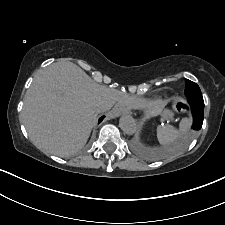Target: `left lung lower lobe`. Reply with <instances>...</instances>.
Returning a JSON list of instances; mask_svg holds the SVG:
<instances>
[{"label": "left lung lower lobe", "instance_id": "left-lung-lower-lobe-1", "mask_svg": "<svg viewBox=\"0 0 225 225\" xmlns=\"http://www.w3.org/2000/svg\"><path fill=\"white\" fill-rule=\"evenodd\" d=\"M193 115V130H200L203 124L204 101L203 99L188 100Z\"/></svg>", "mask_w": 225, "mask_h": 225}]
</instances>
